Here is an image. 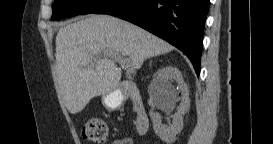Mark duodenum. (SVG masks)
<instances>
[{
  "mask_svg": "<svg viewBox=\"0 0 273 144\" xmlns=\"http://www.w3.org/2000/svg\"><path fill=\"white\" fill-rule=\"evenodd\" d=\"M118 91L132 103L137 133L140 135L145 134L149 129V117L139 88L133 82L126 81L119 85Z\"/></svg>",
  "mask_w": 273,
  "mask_h": 144,
  "instance_id": "1",
  "label": "duodenum"
}]
</instances>
